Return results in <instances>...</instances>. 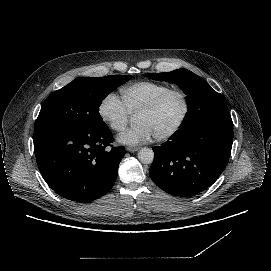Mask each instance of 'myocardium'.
Returning a JSON list of instances; mask_svg holds the SVG:
<instances>
[{"instance_id": "f54148a6", "label": "myocardium", "mask_w": 271, "mask_h": 271, "mask_svg": "<svg viewBox=\"0 0 271 271\" xmlns=\"http://www.w3.org/2000/svg\"><path fill=\"white\" fill-rule=\"evenodd\" d=\"M173 94H178L183 101L182 116L180 120L178 121V123L170 131H168L164 135L155 137L157 141H167V140L172 139L174 136L178 134V132L182 129V127L186 123L187 118L190 113V101H189L188 94L183 89H180V88H175V87L169 88L168 90H166L165 92L157 96L151 103H149L148 105L143 107L141 110H139L137 113V115L149 114L156 111L164 103V101Z\"/></svg>"}]
</instances>
